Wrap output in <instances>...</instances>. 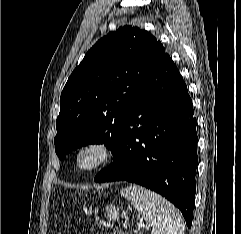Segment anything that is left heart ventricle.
<instances>
[{
  "instance_id": "1",
  "label": "left heart ventricle",
  "mask_w": 241,
  "mask_h": 234,
  "mask_svg": "<svg viewBox=\"0 0 241 234\" xmlns=\"http://www.w3.org/2000/svg\"><path fill=\"white\" fill-rule=\"evenodd\" d=\"M94 159V154L93 153H87L83 156L82 158V163L83 164H90Z\"/></svg>"
}]
</instances>
